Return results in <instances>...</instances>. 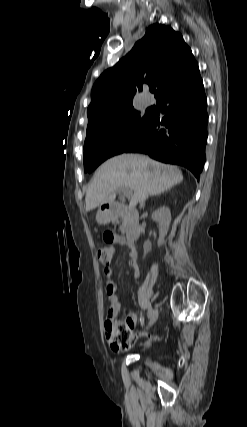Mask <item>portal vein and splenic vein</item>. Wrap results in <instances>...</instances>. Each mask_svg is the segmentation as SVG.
Listing matches in <instances>:
<instances>
[{
    "mask_svg": "<svg viewBox=\"0 0 247 427\" xmlns=\"http://www.w3.org/2000/svg\"><path fill=\"white\" fill-rule=\"evenodd\" d=\"M121 192L126 197H129L132 194L131 190H128V189H121Z\"/></svg>",
    "mask_w": 247,
    "mask_h": 427,
    "instance_id": "1",
    "label": "portal vein and splenic vein"
}]
</instances>
